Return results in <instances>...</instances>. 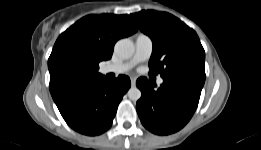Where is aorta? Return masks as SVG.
I'll return each mask as SVG.
<instances>
[{
  "label": "aorta",
  "mask_w": 261,
  "mask_h": 150,
  "mask_svg": "<svg viewBox=\"0 0 261 150\" xmlns=\"http://www.w3.org/2000/svg\"><path fill=\"white\" fill-rule=\"evenodd\" d=\"M114 51L118 57L128 59L134 54L135 47L131 40L121 39L115 44ZM127 94L132 101H137L141 97V91L137 87H131Z\"/></svg>",
  "instance_id": "obj_1"
}]
</instances>
